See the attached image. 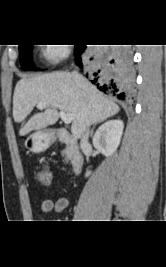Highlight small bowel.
I'll list each match as a JSON object with an SVG mask.
<instances>
[{
	"mask_svg": "<svg viewBox=\"0 0 166 267\" xmlns=\"http://www.w3.org/2000/svg\"><path fill=\"white\" fill-rule=\"evenodd\" d=\"M68 206L66 197H59L56 200L45 199L40 203V211L43 213H60Z\"/></svg>",
	"mask_w": 166,
	"mask_h": 267,
	"instance_id": "obj_1",
	"label": "small bowel"
}]
</instances>
